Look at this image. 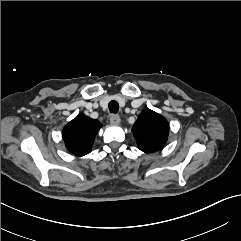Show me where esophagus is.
Instances as JSON below:
<instances>
[{
	"instance_id": "1",
	"label": "esophagus",
	"mask_w": 241,
	"mask_h": 241,
	"mask_svg": "<svg viewBox=\"0 0 241 241\" xmlns=\"http://www.w3.org/2000/svg\"><path fill=\"white\" fill-rule=\"evenodd\" d=\"M110 123L113 125H118L120 123V117L118 115H112L110 118Z\"/></svg>"
}]
</instances>
